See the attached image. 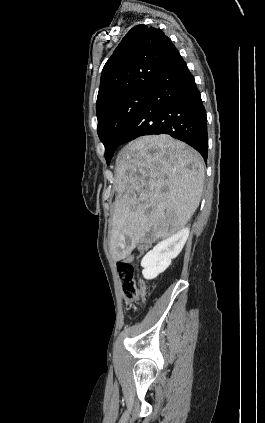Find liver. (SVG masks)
Wrapping results in <instances>:
<instances>
[{
	"label": "liver",
	"mask_w": 265,
	"mask_h": 423,
	"mask_svg": "<svg viewBox=\"0 0 265 423\" xmlns=\"http://www.w3.org/2000/svg\"><path fill=\"white\" fill-rule=\"evenodd\" d=\"M204 176L200 154L169 135L128 143L116 160L112 259L123 260L138 243L165 239L183 229L199 206Z\"/></svg>",
	"instance_id": "liver-1"
}]
</instances>
